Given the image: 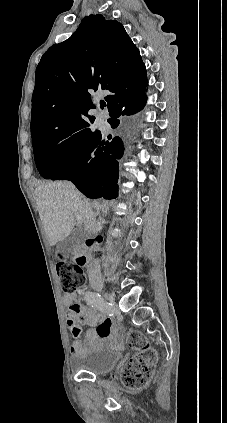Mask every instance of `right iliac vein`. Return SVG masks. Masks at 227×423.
I'll return each instance as SVG.
<instances>
[{
  "label": "right iliac vein",
  "instance_id": "63e3f726",
  "mask_svg": "<svg viewBox=\"0 0 227 423\" xmlns=\"http://www.w3.org/2000/svg\"><path fill=\"white\" fill-rule=\"evenodd\" d=\"M96 290L99 292V293H101L103 296H104V298L108 301V302H110L111 303V305L115 308V303H114V300H113V298L108 294V293H106L103 289H102V287L100 286V287H97L96 288Z\"/></svg>",
  "mask_w": 227,
  "mask_h": 423
}]
</instances>
